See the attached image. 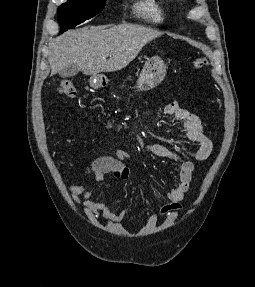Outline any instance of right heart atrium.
<instances>
[{
    "label": "right heart atrium",
    "mask_w": 255,
    "mask_h": 287,
    "mask_svg": "<svg viewBox=\"0 0 255 287\" xmlns=\"http://www.w3.org/2000/svg\"><path fill=\"white\" fill-rule=\"evenodd\" d=\"M108 48H126V47H108Z\"/></svg>",
    "instance_id": "d8ad5b80"
}]
</instances>
